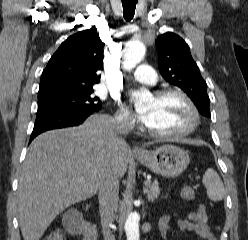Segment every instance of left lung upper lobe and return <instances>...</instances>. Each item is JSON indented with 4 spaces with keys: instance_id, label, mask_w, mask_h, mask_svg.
Masks as SVG:
<instances>
[{
    "instance_id": "1",
    "label": "left lung upper lobe",
    "mask_w": 248,
    "mask_h": 240,
    "mask_svg": "<svg viewBox=\"0 0 248 240\" xmlns=\"http://www.w3.org/2000/svg\"><path fill=\"white\" fill-rule=\"evenodd\" d=\"M156 46L161 75L167 82L185 91L203 116L210 117L207 84L187 43L180 36L167 32L158 37Z\"/></svg>"
}]
</instances>
